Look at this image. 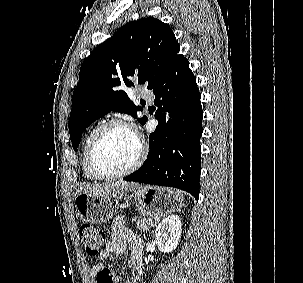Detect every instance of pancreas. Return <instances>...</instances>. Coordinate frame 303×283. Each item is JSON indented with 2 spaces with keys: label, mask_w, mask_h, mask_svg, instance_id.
<instances>
[{
  "label": "pancreas",
  "mask_w": 303,
  "mask_h": 283,
  "mask_svg": "<svg viewBox=\"0 0 303 283\" xmlns=\"http://www.w3.org/2000/svg\"><path fill=\"white\" fill-rule=\"evenodd\" d=\"M133 222H136L137 228L141 229L143 232L148 231L149 226L153 223V219L146 217H135L132 219Z\"/></svg>",
  "instance_id": "obj_1"
}]
</instances>
